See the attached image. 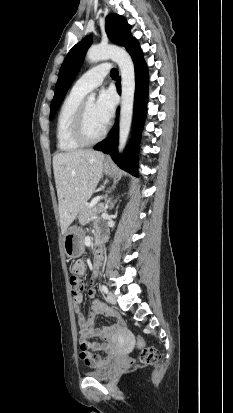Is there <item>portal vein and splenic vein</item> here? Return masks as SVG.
Returning a JSON list of instances; mask_svg holds the SVG:
<instances>
[{"mask_svg": "<svg viewBox=\"0 0 233 413\" xmlns=\"http://www.w3.org/2000/svg\"><path fill=\"white\" fill-rule=\"evenodd\" d=\"M100 199H102V196H97V197H95V198L91 201L90 207H91V208L94 207Z\"/></svg>", "mask_w": 233, "mask_h": 413, "instance_id": "1", "label": "portal vein and splenic vein"}]
</instances>
